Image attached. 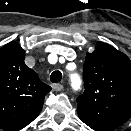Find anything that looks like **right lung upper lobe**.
Here are the masks:
<instances>
[{
	"label": "right lung upper lobe",
	"instance_id": "obj_1",
	"mask_svg": "<svg viewBox=\"0 0 131 131\" xmlns=\"http://www.w3.org/2000/svg\"><path fill=\"white\" fill-rule=\"evenodd\" d=\"M16 42L0 48V129L19 131L40 113L51 87L26 66Z\"/></svg>",
	"mask_w": 131,
	"mask_h": 131
}]
</instances>
